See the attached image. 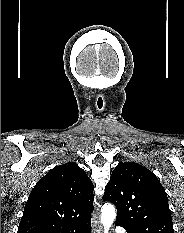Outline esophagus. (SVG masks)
<instances>
[{
	"label": "esophagus",
	"instance_id": "1",
	"mask_svg": "<svg viewBox=\"0 0 184 233\" xmlns=\"http://www.w3.org/2000/svg\"><path fill=\"white\" fill-rule=\"evenodd\" d=\"M101 232H102V226L99 223V220H96L94 233H101Z\"/></svg>",
	"mask_w": 184,
	"mask_h": 233
}]
</instances>
